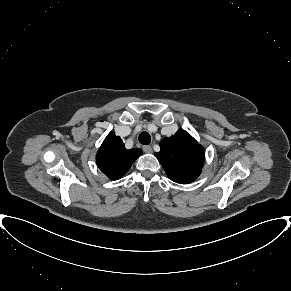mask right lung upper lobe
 <instances>
[{
    "mask_svg": "<svg viewBox=\"0 0 291 291\" xmlns=\"http://www.w3.org/2000/svg\"><path fill=\"white\" fill-rule=\"evenodd\" d=\"M140 155H142L140 149L127 150L121 138L110 132L98 150L96 162L108 178L117 180L129 170Z\"/></svg>",
    "mask_w": 291,
    "mask_h": 291,
    "instance_id": "1",
    "label": "right lung upper lobe"
}]
</instances>
